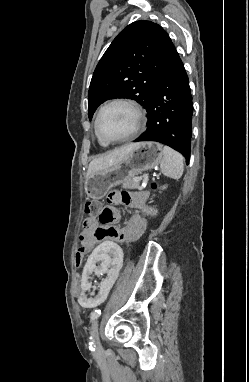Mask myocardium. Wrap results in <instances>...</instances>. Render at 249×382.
Here are the masks:
<instances>
[{"mask_svg": "<svg viewBox=\"0 0 249 382\" xmlns=\"http://www.w3.org/2000/svg\"><path fill=\"white\" fill-rule=\"evenodd\" d=\"M113 105H124V106L128 107L133 112L134 119H135L134 127H133V130L131 131V133H129L126 136H123L120 138H115V139H107V138L103 137L101 132H100L99 121H100V117H101L102 113L107 108H109L110 106H113ZM145 122H146L145 114H144L143 110L141 109V107L136 102H134L133 100L127 99V98H115V99L108 101L107 103H105L104 105H102L100 107V109L96 115V118H95V132H96L97 137L102 142H104L106 144L120 143V142H125V141L133 139L139 133V131L144 127Z\"/></svg>", "mask_w": 249, "mask_h": 382, "instance_id": "f54148a6", "label": "myocardium"}]
</instances>
